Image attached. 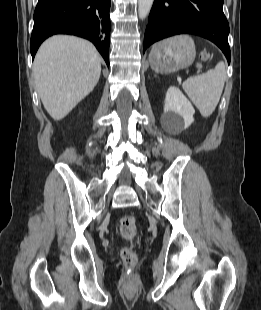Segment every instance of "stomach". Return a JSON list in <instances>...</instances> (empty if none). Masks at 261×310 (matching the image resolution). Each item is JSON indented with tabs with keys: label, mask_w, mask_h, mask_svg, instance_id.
<instances>
[{
	"label": "stomach",
	"mask_w": 261,
	"mask_h": 310,
	"mask_svg": "<svg viewBox=\"0 0 261 310\" xmlns=\"http://www.w3.org/2000/svg\"><path fill=\"white\" fill-rule=\"evenodd\" d=\"M195 55L194 41L188 36H176L154 45L149 61L157 73H171L189 67Z\"/></svg>",
	"instance_id": "0dacf381"
}]
</instances>
